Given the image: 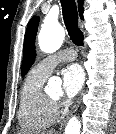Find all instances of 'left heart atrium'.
Listing matches in <instances>:
<instances>
[{
    "label": "left heart atrium",
    "mask_w": 116,
    "mask_h": 134,
    "mask_svg": "<svg viewBox=\"0 0 116 134\" xmlns=\"http://www.w3.org/2000/svg\"><path fill=\"white\" fill-rule=\"evenodd\" d=\"M84 81V71L78 64L66 67L62 71V86L65 98H74L81 91Z\"/></svg>",
    "instance_id": "obj_1"
}]
</instances>
